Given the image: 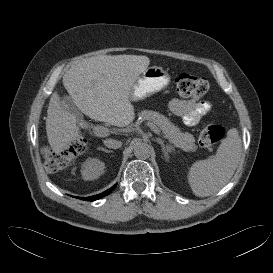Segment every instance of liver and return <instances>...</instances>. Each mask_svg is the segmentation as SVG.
<instances>
[{
  "label": "liver",
  "mask_w": 273,
  "mask_h": 273,
  "mask_svg": "<svg viewBox=\"0 0 273 273\" xmlns=\"http://www.w3.org/2000/svg\"><path fill=\"white\" fill-rule=\"evenodd\" d=\"M139 55H99L83 59L63 75V85L74 104L86 116L114 126L125 127L135 118L130 91L149 66ZM46 134L50 147L60 154L81 135L77 117L51 95L47 109Z\"/></svg>",
  "instance_id": "liver-1"
}]
</instances>
